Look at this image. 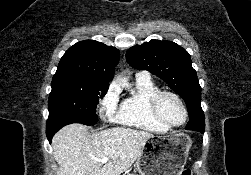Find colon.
<instances>
[{
	"label": "colon",
	"instance_id": "obj_1",
	"mask_svg": "<svg viewBox=\"0 0 251 175\" xmlns=\"http://www.w3.org/2000/svg\"><path fill=\"white\" fill-rule=\"evenodd\" d=\"M182 175H192V172L190 169H184Z\"/></svg>",
	"mask_w": 251,
	"mask_h": 175
}]
</instances>
